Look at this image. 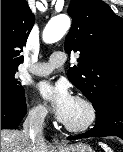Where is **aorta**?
I'll list each match as a JSON object with an SVG mask.
<instances>
[{"label": "aorta", "mask_w": 123, "mask_h": 152, "mask_svg": "<svg viewBox=\"0 0 123 152\" xmlns=\"http://www.w3.org/2000/svg\"><path fill=\"white\" fill-rule=\"evenodd\" d=\"M71 20L67 15L53 17L43 31V41L45 43H55L59 41L69 30Z\"/></svg>", "instance_id": "aorta-1"}]
</instances>
